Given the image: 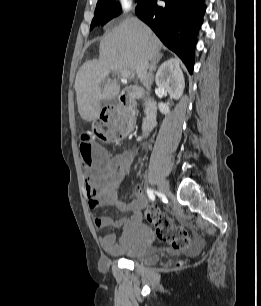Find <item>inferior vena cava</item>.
Listing matches in <instances>:
<instances>
[{"label":"inferior vena cava","instance_id":"inferior-vena-cava-1","mask_svg":"<svg viewBox=\"0 0 261 306\" xmlns=\"http://www.w3.org/2000/svg\"><path fill=\"white\" fill-rule=\"evenodd\" d=\"M150 67L149 58L147 55L142 56V58L137 63L136 73L141 83L147 88L150 89L152 84V78L148 73Z\"/></svg>","mask_w":261,"mask_h":306}]
</instances>
